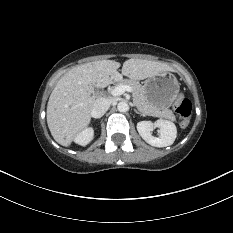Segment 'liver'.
<instances>
[{"instance_id":"6515ba94","label":"liver","mask_w":233,"mask_h":233,"mask_svg":"<svg viewBox=\"0 0 233 233\" xmlns=\"http://www.w3.org/2000/svg\"><path fill=\"white\" fill-rule=\"evenodd\" d=\"M121 66L114 60H100L72 68L53 89L47 105V124L54 140L69 146L76 135L91 121L95 102L94 87L104 88L122 76L143 80L161 72L174 71L166 63L144 59H129Z\"/></svg>"}]
</instances>
